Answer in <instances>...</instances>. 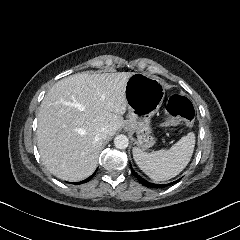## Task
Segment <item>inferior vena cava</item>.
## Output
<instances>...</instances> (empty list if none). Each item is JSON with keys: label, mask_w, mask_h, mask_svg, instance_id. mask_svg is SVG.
Returning a JSON list of instances; mask_svg holds the SVG:
<instances>
[{"label": "inferior vena cava", "mask_w": 240, "mask_h": 240, "mask_svg": "<svg viewBox=\"0 0 240 240\" xmlns=\"http://www.w3.org/2000/svg\"><path fill=\"white\" fill-rule=\"evenodd\" d=\"M107 134H108V130L106 128H99L97 131H96V136L98 139L100 140H105L107 138Z\"/></svg>", "instance_id": "obj_1"}]
</instances>
